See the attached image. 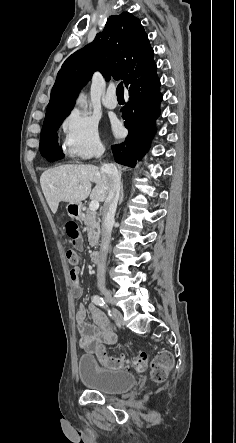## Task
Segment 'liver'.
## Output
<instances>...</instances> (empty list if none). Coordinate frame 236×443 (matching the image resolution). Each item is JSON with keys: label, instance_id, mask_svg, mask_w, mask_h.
<instances>
[{"label": "liver", "instance_id": "obj_1", "mask_svg": "<svg viewBox=\"0 0 236 443\" xmlns=\"http://www.w3.org/2000/svg\"><path fill=\"white\" fill-rule=\"evenodd\" d=\"M121 170L120 167V175ZM92 182L96 184L93 190ZM40 184L53 214L61 201L80 204L90 196L92 201L103 202L107 197V180L94 165H64L48 169L42 173Z\"/></svg>", "mask_w": 236, "mask_h": 443}]
</instances>
